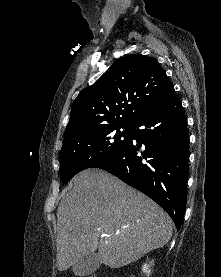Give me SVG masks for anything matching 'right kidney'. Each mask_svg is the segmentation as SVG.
Listing matches in <instances>:
<instances>
[{
	"label": "right kidney",
	"instance_id": "obj_1",
	"mask_svg": "<svg viewBox=\"0 0 221 277\" xmlns=\"http://www.w3.org/2000/svg\"><path fill=\"white\" fill-rule=\"evenodd\" d=\"M152 262H153V260H152ZM152 262H150V264H151ZM149 267H150L149 264H144V265L142 266V271H143L144 273H146L148 277H149V274H150V272H151V270L149 269Z\"/></svg>",
	"mask_w": 221,
	"mask_h": 277
}]
</instances>
